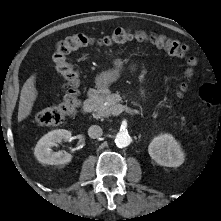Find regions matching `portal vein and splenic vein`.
<instances>
[{
    "label": "portal vein and splenic vein",
    "mask_w": 221,
    "mask_h": 221,
    "mask_svg": "<svg viewBox=\"0 0 221 221\" xmlns=\"http://www.w3.org/2000/svg\"><path fill=\"white\" fill-rule=\"evenodd\" d=\"M124 110H126V111H128V112H130V113L133 112V110H131L130 108L125 107V106H123V105H121V104H117V105L114 107V109H113V115L117 116V115L121 114Z\"/></svg>",
    "instance_id": "1"
}]
</instances>
